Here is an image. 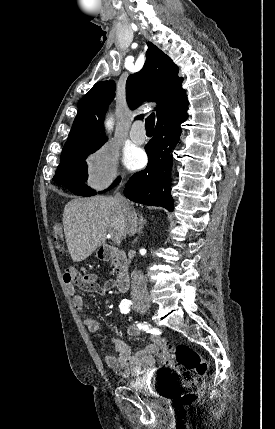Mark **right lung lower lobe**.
Wrapping results in <instances>:
<instances>
[{
	"label": "right lung lower lobe",
	"mask_w": 275,
	"mask_h": 429,
	"mask_svg": "<svg viewBox=\"0 0 275 429\" xmlns=\"http://www.w3.org/2000/svg\"><path fill=\"white\" fill-rule=\"evenodd\" d=\"M188 118L187 113L168 122L156 125L155 133L145 147L149 157L147 167L132 175L124 189L131 201L150 206H161L173 210L170 194L172 150L179 143L182 130L180 124Z\"/></svg>",
	"instance_id": "1"
}]
</instances>
